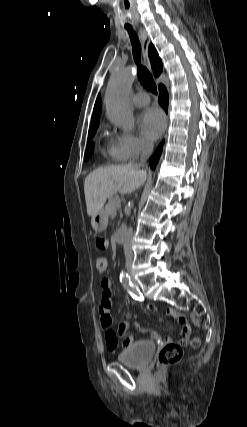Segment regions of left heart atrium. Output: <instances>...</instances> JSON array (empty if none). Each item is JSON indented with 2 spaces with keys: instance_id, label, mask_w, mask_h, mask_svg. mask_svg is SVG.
<instances>
[{
  "instance_id": "39dd6f15",
  "label": "left heart atrium",
  "mask_w": 247,
  "mask_h": 427,
  "mask_svg": "<svg viewBox=\"0 0 247 427\" xmlns=\"http://www.w3.org/2000/svg\"><path fill=\"white\" fill-rule=\"evenodd\" d=\"M139 124L143 135L150 140H155L160 137L165 128V118L160 110L149 108L140 116Z\"/></svg>"
}]
</instances>
